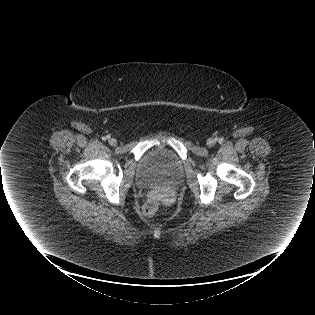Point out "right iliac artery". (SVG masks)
<instances>
[{
  "label": "right iliac artery",
  "instance_id": "1",
  "mask_svg": "<svg viewBox=\"0 0 315 315\" xmlns=\"http://www.w3.org/2000/svg\"><path fill=\"white\" fill-rule=\"evenodd\" d=\"M108 138H109V137H108V136H106V137H103V138H102V140H104V141H105V140H107Z\"/></svg>",
  "mask_w": 315,
  "mask_h": 315
}]
</instances>
